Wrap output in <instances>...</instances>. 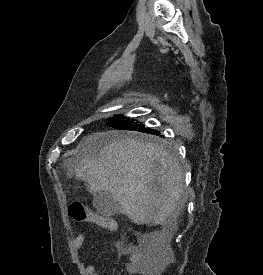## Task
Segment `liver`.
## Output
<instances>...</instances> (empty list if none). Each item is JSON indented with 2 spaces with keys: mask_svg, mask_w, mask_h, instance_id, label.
Segmentation results:
<instances>
[{
  "mask_svg": "<svg viewBox=\"0 0 263 275\" xmlns=\"http://www.w3.org/2000/svg\"><path fill=\"white\" fill-rule=\"evenodd\" d=\"M75 175L91 193L107 191L136 224L175 228L186 198L179 163L162 147L116 132H97L80 144Z\"/></svg>",
  "mask_w": 263,
  "mask_h": 275,
  "instance_id": "6515ba94",
  "label": "liver"
}]
</instances>
